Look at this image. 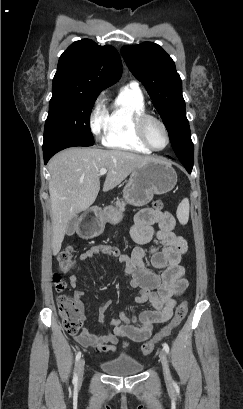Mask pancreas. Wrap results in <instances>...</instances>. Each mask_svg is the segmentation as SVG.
Segmentation results:
<instances>
[{
    "label": "pancreas",
    "instance_id": "cf45deb5",
    "mask_svg": "<svg viewBox=\"0 0 243 409\" xmlns=\"http://www.w3.org/2000/svg\"><path fill=\"white\" fill-rule=\"evenodd\" d=\"M116 206L119 207L120 211H124L125 210V202L120 201L119 199H117V201L115 202Z\"/></svg>",
    "mask_w": 243,
    "mask_h": 409
}]
</instances>
